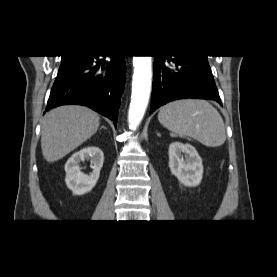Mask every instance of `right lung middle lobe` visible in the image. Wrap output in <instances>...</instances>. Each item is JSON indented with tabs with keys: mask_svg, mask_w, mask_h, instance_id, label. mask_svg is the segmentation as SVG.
Returning a JSON list of instances; mask_svg holds the SVG:
<instances>
[{
	"mask_svg": "<svg viewBox=\"0 0 277 277\" xmlns=\"http://www.w3.org/2000/svg\"><path fill=\"white\" fill-rule=\"evenodd\" d=\"M83 56H62L61 66L59 68L58 74L64 72L66 69L74 65L76 62H78L80 59H82Z\"/></svg>",
	"mask_w": 277,
	"mask_h": 277,
	"instance_id": "right-lung-middle-lobe-1",
	"label": "right lung middle lobe"
}]
</instances>
